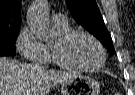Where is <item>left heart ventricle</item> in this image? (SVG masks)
I'll list each match as a JSON object with an SVG mask.
<instances>
[{
	"mask_svg": "<svg viewBox=\"0 0 135 95\" xmlns=\"http://www.w3.org/2000/svg\"><path fill=\"white\" fill-rule=\"evenodd\" d=\"M58 44V39L53 45ZM65 58L73 63L94 66L100 63L101 54L96 44L88 37L79 35L67 45L62 46Z\"/></svg>",
	"mask_w": 135,
	"mask_h": 95,
	"instance_id": "obj_1",
	"label": "left heart ventricle"
}]
</instances>
